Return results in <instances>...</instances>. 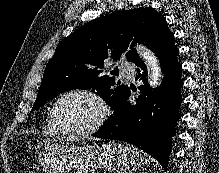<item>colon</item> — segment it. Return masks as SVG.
Returning <instances> with one entry per match:
<instances>
[{
	"label": "colon",
	"instance_id": "1",
	"mask_svg": "<svg viewBox=\"0 0 219 173\" xmlns=\"http://www.w3.org/2000/svg\"><path fill=\"white\" fill-rule=\"evenodd\" d=\"M26 173H40L39 170L37 168L34 167H30Z\"/></svg>",
	"mask_w": 219,
	"mask_h": 173
}]
</instances>
